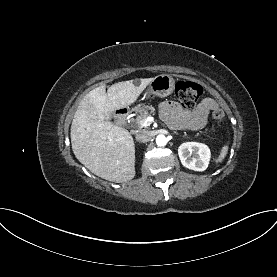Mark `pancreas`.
I'll return each instance as SVG.
<instances>
[{
    "label": "pancreas",
    "mask_w": 277,
    "mask_h": 277,
    "mask_svg": "<svg viewBox=\"0 0 277 277\" xmlns=\"http://www.w3.org/2000/svg\"><path fill=\"white\" fill-rule=\"evenodd\" d=\"M138 115L136 117V119H134V122L138 125L141 126L142 121L147 118L148 116H150L151 113L154 112V107L153 106H148V105H143V106H137L134 109Z\"/></svg>",
    "instance_id": "1"
}]
</instances>
